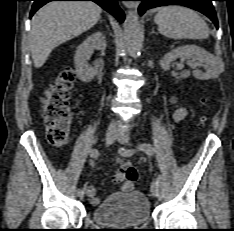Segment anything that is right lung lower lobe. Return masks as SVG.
Segmentation results:
<instances>
[{"instance_id": "obj_1", "label": "right lung lower lobe", "mask_w": 234, "mask_h": 231, "mask_svg": "<svg viewBox=\"0 0 234 231\" xmlns=\"http://www.w3.org/2000/svg\"><path fill=\"white\" fill-rule=\"evenodd\" d=\"M34 4L30 13V17L44 4L50 1H94L100 5L103 9L115 16L120 23L124 21V12L118 6V1L121 0H33Z\"/></svg>"}]
</instances>
